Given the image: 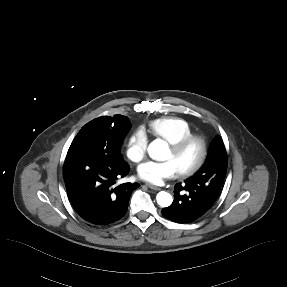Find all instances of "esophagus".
<instances>
[{"label": "esophagus", "instance_id": "esophagus-1", "mask_svg": "<svg viewBox=\"0 0 287 287\" xmlns=\"http://www.w3.org/2000/svg\"><path fill=\"white\" fill-rule=\"evenodd\" d=\"M147 186H148L150 189L155 190V191L161 190V188H159V187H157V186H155V185H153V184H147Z\"/></svg>", "mask_w": 287, "mask_h": 287}]
</instances>
